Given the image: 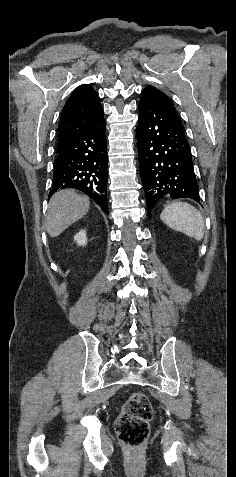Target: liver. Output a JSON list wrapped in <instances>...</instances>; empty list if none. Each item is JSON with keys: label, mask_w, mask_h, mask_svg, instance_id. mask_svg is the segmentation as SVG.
<instances>
[{"label": "liver", "mask_w": 236, "mask_h": 477, "mask_svg": "<svg viewBox=\"0 0 236 477\" xmlns=\"http://www.w3.org/2000/svg\"><path fill=\"white\" fill-rule=\"evenodd\" d=\"M89 198L74 190H61L50 199L47 211L46 229L50 237H56L74 222L85 216L89 210Z\"/></svg>", "instance_id": "obj_1"}]
</instances>
